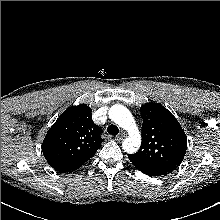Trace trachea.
<instances>
[{
	"mask_svg": "<svg viewBox=\"0 0 220 220\" xmlns=\"http://www.w3.org/2000/svg\"><path fill=\"white\" fill-rule=\"evenodd\" d=\"M107 131L109 134H112V135H118L119 133L118 127L113 124L108 126Z\"/></svg>",
	"mask_w": 220,
	"mask_h": 220,
	"instance_id": "1",
	"label": "trachea"
}]
</instances>
